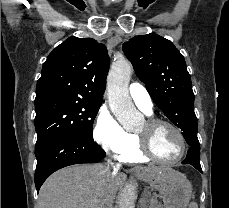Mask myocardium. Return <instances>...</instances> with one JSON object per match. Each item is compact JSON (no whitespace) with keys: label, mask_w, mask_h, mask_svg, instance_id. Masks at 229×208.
I'll use <instances>...</instances> for the list:
<instances>
[{"label":"myocardium","mask_w":229,"mask_h":208,"mask_svg":"<svg viewBox=\"0 0 229 208\" xmlns=\"http://www.w3.org/2000/svg\"><path fill=\"white\" fill-rule=\"evenodd\" d=\"M146 125L149 128V132L145 134H141L138 132V137L140 138L142 143H138V148H140V153H143V158H151L152 160L163 163V164H174L182 161L187 154L189 153L191 149V143L186 136V134L183 132V130L178 127L177 125L166 121L162 119H156V118H150L146 121ZM166 126L173 130H170V135H172V138L174 139L175 143H178V147H185V150L181 156L178 158H175L173 160H159V157H154V152H150L149 147V139H153L151 131ZM179 133V134H177ZM184 141V142H183Z\"/></svg>","instance_id":"obj_1"}]
</instances>
